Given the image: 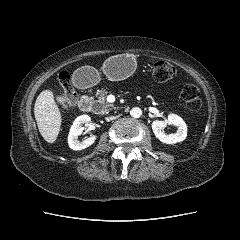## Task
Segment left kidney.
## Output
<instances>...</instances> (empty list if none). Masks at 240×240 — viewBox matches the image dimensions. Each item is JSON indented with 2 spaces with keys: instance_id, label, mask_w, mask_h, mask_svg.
<instances>
[{
  "instance_id": "obj_1",
  "label": "left kidney",
  "mask_w": 240,
  "mask_h": 240,
  "mask_svg": "<svg viewBox=\"0 0 240 240\" xmlns=\"http://www.w3.org/2000/svg\"><path fill=\"white\" fill-rule=\"evenodd\" d=\"M172 124L177 127V131L174 134L166 135L163 128L166 124ZM152 130L155 136L163 143L175 144L186 139L187 136V126L184 120L176 114H169L165 121H153Z\"/></svg>"
}]
</instances>
